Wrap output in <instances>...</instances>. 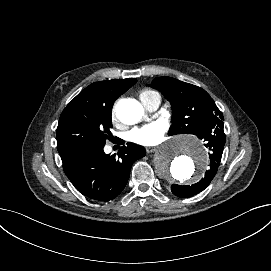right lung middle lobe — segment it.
Masks as SVG:
<instances>
[{
	"mask_svg": "<svg viewBox=\"0 0 271 271\" xmlns=\"http://www.w3.org/2000/svg\"><path fill=\"white\" fill-rule=\"evenodd\" d=\"M125 90L100 88L79 93L63 110L57 127L60 155L84 146L105 145L113 140L111 112Z\"/></svg>",
	"mask_w": 271,
	"mask_h": 271,
	"instance_id": "obj_1",
	"label": "right lung middle lobe"
}]
</instances>
